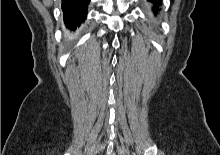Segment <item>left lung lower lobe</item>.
Instances as JSON below:
<instances>
[{"label":"left lung lower lobe","instance_id":"0a47b994","mask_svg":"<svg viewBox=\"0 0 220 155\" xmlns=\"http://www.w3.org/2000/svg\"><path fill=\"white\" fill-rule=\"evenodd\" d=\"M153 3L154 14H156L158 7L161 5V0H149Z\"/></svg>","mask_w":220,"mask_h":155}]
</instances>
